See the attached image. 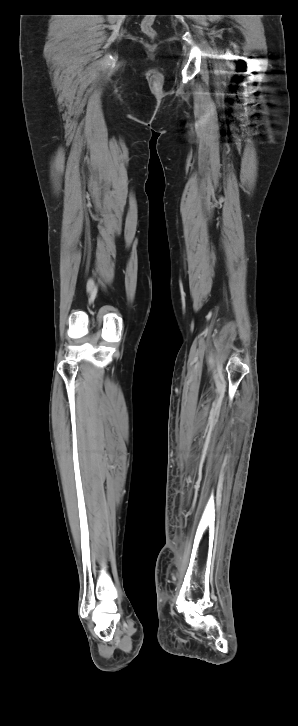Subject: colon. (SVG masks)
Here are the masks:
<instances>
[{"instance_id": "colon-1", "label": "colon", "mask_w": 298, "mask_h": 726, "mask_svg": "<svg viewBox=\"0 0 298 726\" xmlns=\"http://www.w3.org/2000/svg\"><path fill=\"white\" fill-rule=\"evenodd\" d=\"M154 24V18L153 17H147L144 18L141 22V30L142 32L147 35L148 37L154 38L156 36V31L153 27Z\"/></svg>"}]
</instances>
